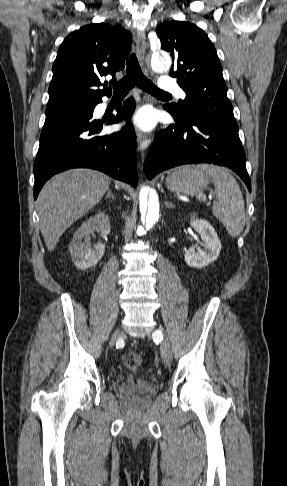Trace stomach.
I'll return each mask as SVG.
<instances>
[{"mask_svg": "<svg viewBox=\"0 0 287 486\" xmlns=\"http://www.w3.org/2000/svg\"><path fill=\"white\" fill-rule=\"evenodd\" d=\"M210 177V174L199 165H185L174 170L166 178V186L174 193L195 195L206 188Z\"/></svg>", "mask_w": 287, "mask_h": 486, "instance_id": "0dacf381", "label": "stomach"}]
</instances>
